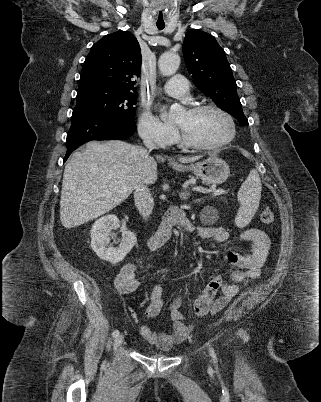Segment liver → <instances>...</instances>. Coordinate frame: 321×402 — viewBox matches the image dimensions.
<instances>
[{"mask_svg":"<svg viewBox=\"0 0 321 402\" xmlns=\"http://www.w3.org/2000/svg\"><path fill=\"white\" fill-rule=\"evenodd\" d=\"M200 157H180L190 163ZM157 161H164L156 156ZM157 162L140 146L121 140L90 141L73 153L66 165L61 191L60 220L74 228L95 219L122 203L138 183L157 180Z\"/></svg>","mask_w":321,"mask_h":402,"instance_id":"liver-1","label":"liver"}]
</instances>
